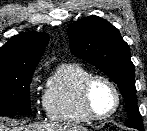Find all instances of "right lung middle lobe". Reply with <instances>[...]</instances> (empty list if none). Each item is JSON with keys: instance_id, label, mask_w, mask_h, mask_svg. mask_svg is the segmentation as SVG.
<instances>
[{"instance_id": "right-lung-middle-lobe-1", "label": "right lung middle lobe", "mask_w": 147, "mask_h": 131, "mask_svg": "<svg viewBox=\"0 0 147 131\" xmlns=\"http://www.w3.org/2000/svg\"><path fill=\"white\" fill-rule=\"evenodd\" d=\"M34 70H0V115L31 112L30 82Z\"/></svg>"}]
</instances>
